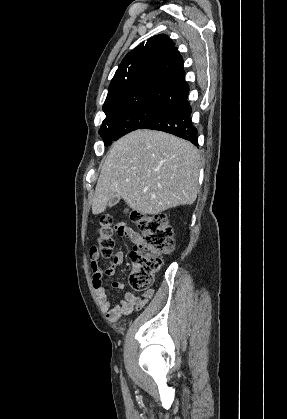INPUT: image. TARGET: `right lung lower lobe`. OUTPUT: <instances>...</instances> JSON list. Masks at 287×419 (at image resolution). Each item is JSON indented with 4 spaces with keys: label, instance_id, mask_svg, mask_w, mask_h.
<instances>
[{
    "label": "right lung lower lobe",
    "instance_id": "right-lung-lower-lobe-1",
    "mask_svg": "<svg viewBox=\"0 0 287 419\" xmlns=\"http://www.w3.org/2000/svg\"><path fill=\"white\" fill-rule=\"evenodd\" d=\"M191 106L187 96L168 105L139 129L164 131L197 145V130L191 121Z\"/></svg>",
    "mask_w": 287,
    "mask_h": 419
}]
</instances>
